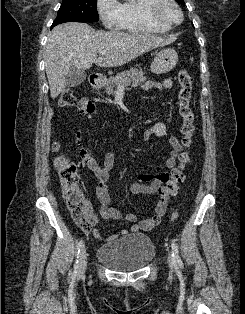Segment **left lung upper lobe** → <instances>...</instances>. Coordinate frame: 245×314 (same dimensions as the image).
<instances>
[{"mask_svg":"<svg viewBox=\"0 0 245 314\" xmlns=\"http://www.w3.org/2000/svg\"><path fill=\"white\" fill-rule=\"evenodd\" d=\"M178 3L182 4V5H185V2L184 0H176Z\"/></svg>","mask_w":245,"mask_h":314,"instance_id":"obj_1","label":"left lung upper lobe"}]
</instances>
